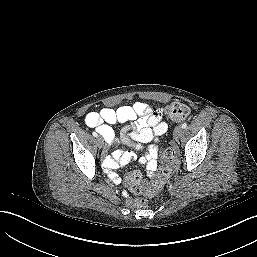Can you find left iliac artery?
I'll return each mask as SVG.
<instances>
[{
    "label": "left iliac artery",
    "instance_id": "44dca946",
    "mask_svg": "<svg viewBox=\"0 0 257 257\" xmlns=\"http://www.w3.org/2000/svg\"><path fill=\"white\" fill-rule=\"evenodd\" d=\"M181 127H182L183 129H185V128L187 127V123L184 122Z\"/></svg>",
    "mask_w": 257,
    "mask_h": 257
}]
</instances>
